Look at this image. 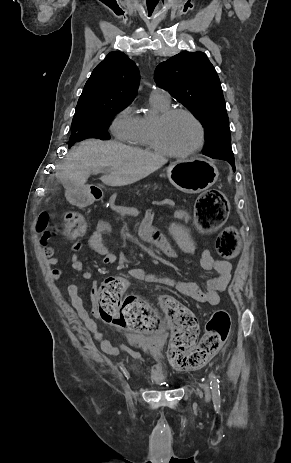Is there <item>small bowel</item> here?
I'll use <instances>...</instances> for the list:
<instances>
[{
    "instance_id": "c3829d8e",
    "label": "small bowel",
    "mask_w": 291,
    "mask_h": 463,
    "mask_svg": "<svg viewBox=\"0 0 291 463\" xmlns=\"http://www.w3.org/2000/svg\"><path fill=\"white\" fill-rule=\"evenodd\" d=\"M189 218L191 219L190 215ZM153 215L148 213L140 227L137 229V237L140 239L139 243L142 246H159L161 250L170 256L176 257L177 250L173 248L167 238L168 234L161 231L159 226H152ZM184 226L182 223L176 225L174 221L167 225V230L174 237L178 250L191 254L194 252L195 246L191 237L190 226ZM110 225L106 220H99L95 230L88 240L89 247L98 255L102 257L104 264L112 265L117 262L116 255L111 252L104 242V237L110 233ZM48 237L41 236V244L43 246V253L46 258L47 266L50 268L49 278L53 280L60 279L64 276L65 270L59 266L61 259L54 255L55 249L48 245ZM83 244L81 241L74 242L70 247L71 254V267L78 272L83 279H92L93 274L90 268L86 267L84 263L78 258V252L82 249ZM200 266L204 271L213 272L215 275L203 283L199 284L193 281H180L171 277L159 276L153 272L142 268H134L129 271L130 276L135 280L162 283L176 288L181 294L187 296L197 302L205 303L211 306L218 305L220 302V295L224 292L231 281V264L215 259L209 250L204 249L201 252ZM97 283L95 282L92 288V304L95 305L97 294ZM80 285L77 282L70 283L65 294L74 308L79 318L84 322L87 329L94 335L95 339L99 342L103 352L109 355L118 356L123 353L119 347H115L105 340L97 329L95 321L90 317L88 310L84 306L83 298L80 296ZM156 372V371H154ZM159 378V375H155Z\"/></svg>"
}]
</instances>
